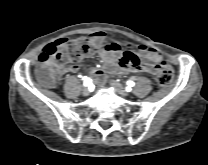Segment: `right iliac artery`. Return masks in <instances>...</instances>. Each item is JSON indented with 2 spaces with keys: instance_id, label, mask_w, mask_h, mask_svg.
Wrapping results in <instances>:
<instances>
[{
  "instance_id": "right-iliac-artery-1",
  "label": "right iliac artery",
  "mask_w": 208,
  "mask_h": 165,
  "mask_svg": "<svg viewBox=\"0 0 208 165\" xmlns=\"http://www.w3.org/2000/svg\"><path fill=\"white\" fill-rule=\"evenodd\" d=\"M92 80L90 78H85L84 80V86H90L91 85Z\"/></svg>"
}]
</instances>
